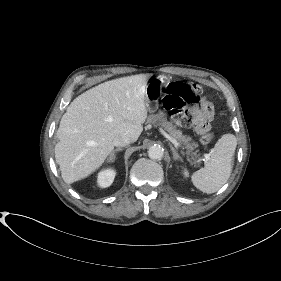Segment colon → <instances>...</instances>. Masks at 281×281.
I'll use <instances>...</instances> for the list:
<instances>
[{"label": "colon", "instance_id": "5ec220e1", "mask_svg": "<svg viewBox=\"0 0 281 281\" xmlns=\"http://www.w3.org/2000/svg\"><path fill=\"white\" fill-rule=\"evenodd\" d=\"M200 93L201 87L196 83L173 82L168 85L162 104L167 110L178 116L179 122L183 126H190L193 118L190 114L184 113L183 111L188 105L198 103ZM213 140L214 135L212 133H205L201 137V143L203 145H209Z\"/></svg>", "mask_w": 281, "mask_h": 281}]
</instances>
